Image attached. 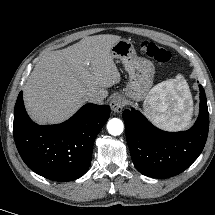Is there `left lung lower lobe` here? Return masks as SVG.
Wrapping results in <instances>:
<instances>
[{"mask_svg": "<svg viewBox=\"0 0 215 215\" xmlns=\"http://www.w3.org/2000/svg\"><path fill=\"white\" fill-rule=\"evenodd\" d=\"M199 88V116L187 131H162L138 110L123 112L132 161L140 173L153 178L173 177L198 158L205 146L209 128L206 95L201 85Z\"/></svg>", "mask_w": 215, "mask_h": 215, "instance_id": "left-lung-lower-lobe-1", "label": "left lung lower lobe"}]
</instances>
